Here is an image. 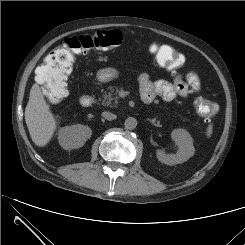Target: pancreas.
Returning a JSON list of instances; mask_svg holds the SVG:
<instances>
[{
    "label": "pancreas",
    "instance_id": "obj_1",
    "mask_svg": "<svg viewBox=\"0 0 245 245\" xmlns=\"http://www.w3.org/2000/svg\"><path fill=\"white\" fill-rule=\"evenodd\" d=\"M108 89H109V92L108 93L105 92L103 94L102 105L109 106L114 101L115 102L114 106H116L118 103V97L117 96L114 97L113 95L117 94L119 90L117 87H112V86H110Z\"/></svg>",
    "mask_w": 245,
    "mask_h": 245
}]
</instances>
